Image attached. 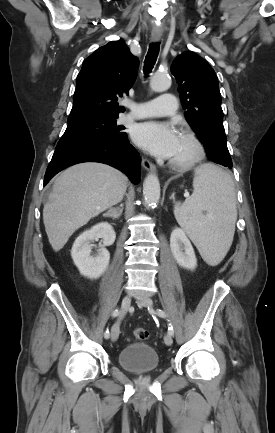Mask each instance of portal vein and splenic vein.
<instances>
[{"mask_svg":"<svg viewBox=\"0 0 275 433\" xmlns=\"http://www.w3.org/2000/svg\"><path fill=\"white\" fill-rule=\"evenodd\" d=\"M184 196H185V197H188V196H189V192H185V193H184Z\"/></svg>","mask_w":275,"mask_h":433,"instance_id":"18ae733b","label":"portal vein and splenic vein"}]
</instances>
